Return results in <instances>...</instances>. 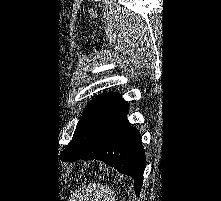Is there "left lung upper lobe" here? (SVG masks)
Returning a JSON list of instances; mask_svg holds the SVG:
<instances>
[{"mask_svg":"<svg viewBox=\"0 0 221 201\" xmlns=\"http://www.w3.org/2000/svg\"><path fill=\"white\" fill-rule=\"evenodd\" d=\"M123 101L116 93L102 94L92 99L78 121L71 143L62 151L61 160L76 155L86 146L109 111Z\"/></svg>","mask_w":221,"mask_h":201,"instance_id":"left-lung-upper-lobe-1","label":"left lung upper lobe"}]
</instances>
